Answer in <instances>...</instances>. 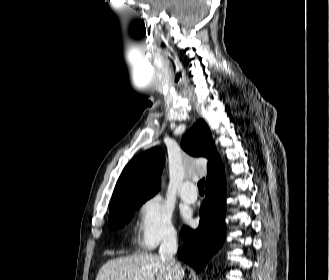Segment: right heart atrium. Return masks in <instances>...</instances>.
I'll use <instances>...</instances> for the list:
<instances>
[{
  "label": "right heart atrium",
  "instance_id": "obj_1",
  "mask_svg": "<svg viewBox=\"0 0 329 280\" xmlns=\"http://www.w3.org/2000/svg\"><path fill=\"white\" fill-rule=\"evenodd\" d=\"M176 238L170 206L158 195L145 199L138 208L139 245L147 250Z\"/></svg>",
  "mask_w": 329,
  "mask_h": 280
}]
</instances>
